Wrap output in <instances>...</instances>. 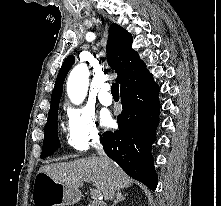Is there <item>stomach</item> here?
Returning <instances> with one entry per match:
<instances>
[{"label": "stomach", "instance_id": "obj_1", "mask_svg": "<svg viewBox=\"0 0 221 206\" xmlns=\"http://www.w3.org/2000/svg\"><path fill=\"white\" fill-rule=\"evenodd\" d=\"M81 193L78 188L65 185L44 173H38L33 186L34 206H65L78 202Z\"/></svg>", "mask_w": 221, "mask_h": 206}]
</instances>
